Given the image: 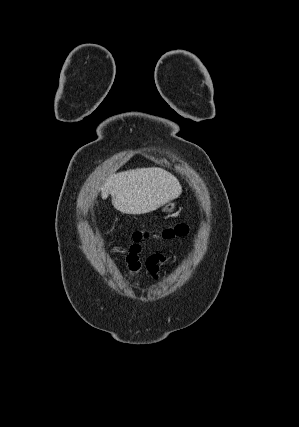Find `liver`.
I'll use <instances>...</instances> for the list:
<instances>
[{
	"label": "liver",
	"mask_w": 299,
	"mask_h": 427,
	"mask_svg": "<svg viewBox=\"0 0 299 427\" xmlns=\"http://www.w3.org/2000/svg\"><path fill=\"white\" fill-rule=\"evenodd\" d=\"M181 193L177 178L156 167L112 174L101 187L102 199L111 194L112 204L118 211L133 215L152 212Z\"/></svg>",
	"instance_id": "6515ba94"
}]
</instances>
